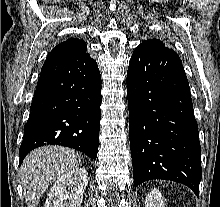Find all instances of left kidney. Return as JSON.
I'll use <instances>...</instances> for the list:
<instances>
[{
	"instance_id": "5707ae66",
	"label": "left kidney",
	"mask_w": 220,
	"mask_h": 207,
	"mask_svg": "<svg viewBox=\"0 0 220 207\" xmlns=\"http://www.w3.org/2000/svg\"><path fill=\"white\" fill-rule=\"evenodd\" d=\"M145 207H164V198L157 189H152L145 199Z\"/></svg>"
}]
</instances>
